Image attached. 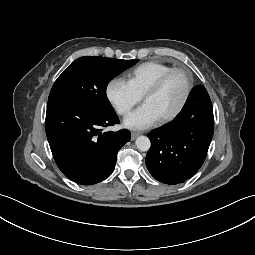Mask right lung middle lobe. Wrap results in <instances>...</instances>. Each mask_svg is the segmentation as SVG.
<instances>
[{
  "instance_id": "obj_1",
  "label": "right lung middle lobe",
  "mask_w": 255,
  "mask_h": 255,
  "mask_svg": "<svg viewBox=\"0 0 255 255\" xmlns=\"http://www.w3.org/2000/svg\"><path fill=\"white\" fill-rule=\"evenodd\" d=\"M138 62L97 56H84L68 66L55 81L48 102L71 101L100 113L114 112L106 96L108 83Z\"/></svg>"
}]
</instances>
